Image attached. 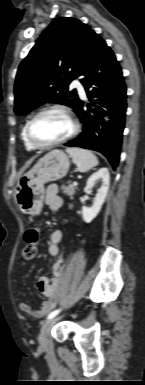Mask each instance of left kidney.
Masks as SVG:
<instances>
[{
    "mask_svg": "<svg viewBox=\"0 0 145 385\" xmlns=\"http://www.w3.org/2000/svg\"><path fill=\"white\" fill-rule=\"evenodd\" d=\"M99 179L102 180V185L98 189V193L94 199L92 207L90 208L85 206L82 207V217L86 223H90L98 215L105 201V198L107 196L108 189H109V182H110V175H109L108 168H105V167L100 168L97 172L92 174L87 181V185L84 188V191L91 189L94 183Z\"/></svg>",
    "mask_w": 145,
    "mask_h": 385,
    "instance_id": "obj_1",
    "label": "left kidney"
}]
</instances>
